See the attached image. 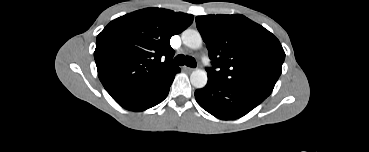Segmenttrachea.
<instances>
[{
  "mask_svg": "<svg viewBox=\"0 0 369 152\" xmlns=\"http://www.w3.org/2000/svg\"><path fill=\"white\" fill-rule=\"evenodd\" d=\"M173 63L179 66L186 65L188 67H193V68L196 67L195 59L191 56H185L183 54L177 55L174 58Z\"/></svg>",
  "mask_w": 369,
  "mask_h": 152,
  "instance_id": "3493384b",
  "label": "trachea"
}]
</instances>
